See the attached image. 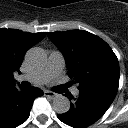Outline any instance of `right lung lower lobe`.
Returning a JSON list of instances; mask_svg holds the SVG:
<instances>
[{
  "label": "right lung lower lobe",
  "instance_id": "right-lung-lower-lobe-1",
  "mask_svg": "<svg viewBox=\"0 0 128 128\" xmlns=\"http://www.w3.org/2000/svg\"><path fill=\"white\" fill-rule=\"evenodd\" d=\"M17 90L15 86L0 91V128H15L27 120L33 101L42 96L36 87Z\"/></svg>",
  "mask_w": 128,
  "mask_h": 128
}]
</instances>
